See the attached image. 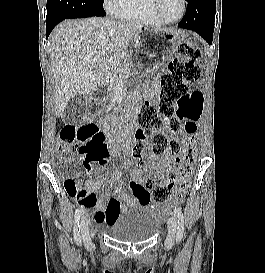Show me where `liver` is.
Segmentation results:
<instances>
[{
    "instance_id": "obj_1",
    "label": "liver",
    "mask_w": 265,
    "mask_h": 273,
    "mask_svg": "<svg viewBox=\"0 0 265 273\" xmlns=\"http://www.w3.org/2000/svg\"><path fill=\"white\" fill-rule=\"evenodd\" d=\"M142 29L139 23L91 17L65 21L53 30L50 42L56 116L62 115L74 96L90 95L109 83Z\"/></svg>"
}]
</instances>
